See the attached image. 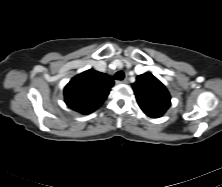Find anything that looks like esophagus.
Masks as SVG:
<instances>
[{
  "label": "esophagus",
  "instance_id": "34e87169",
  "mask_svg": "<svg viewBox=\"0 0 222 187\" xmlns=\"http://www.w3.org/2000/svg\"><path fill=\"white\" fill-rule=\"evenodd\" d=\"M127 82H128L127 79H124L117 81V84H126Z\"/></svg>",
  "mask_w": 222,
  "mask_h": 187
}]
</instances>
